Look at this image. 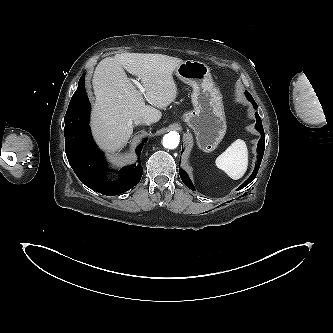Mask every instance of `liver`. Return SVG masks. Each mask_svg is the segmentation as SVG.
Here are the masks:
<instances>
[{
  "label": "liver",
  "instance_id": "liver-1",
  "mask_svg": "<svg viewBox=\"0 0 333 333\" xmlns=\"http://www.w3.org/2000/svg\"><path fill=\"white\" fill-rule=\"evenodd\" d=\"M182 62L163 54L143 53L116 54L100 61L92 79L96 98L92 129L103 149H121L133 133L136 118L146 117L151 123L161 119L156 108H165L176 99L178 90L172 74ZM124 69L141 79L144 94L136 89Z\"/></svg>",
  "mask_w": 333,
  "mask_h": 333
}]
</instances>
